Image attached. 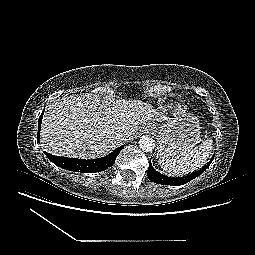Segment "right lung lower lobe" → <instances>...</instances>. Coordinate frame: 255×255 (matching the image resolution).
I'll use <instances>...</instances> for the list:
<instances>
[{"label":"right lung lower lobe","instance_id":"1","mask_svg":"<svg viewBox=\"0 0 255 255\" xmlns=\"http://www.w3.org/2000/svg\"><path fill=\"white\" fill-rule=\"evenodd\" d=\"M43 114H44V111L42 112L38 121V135H37L38 139H39ZM122 148L123 146H120L109 155L103 158L93 159V160L60 157V156L51 155L47 152H44V153L49 158L50 161H52L55 165L63 169L74 171V172L94 173V172L104 171L108 169V167H111L114 164L115 159L117 155L120 153V151L122 150Z\"/></svg>","mask_w":255,"mask_h":255}]
</instances>
